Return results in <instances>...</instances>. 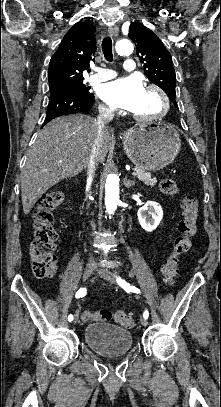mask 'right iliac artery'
Listing matches in <instances>:
<instances>
[{
  "instance_id": "obj_1",
  "label": "right iliac artery",
  "mask_w": 221,
  "mask_h": 407,
  "mask_svg": "<svg viewBox=\"0 0 221 407\" xmlns=\"http://www.w3.org/2000/svg\"><path fill=\"white\" fill-rule=\"evenodd\" d=\"M86 293H87V289L86 288H81V289H79L77 291L75 296H76V298L84 297L86 295ZM72 320H73V315L70 314L68 316V321L71 322Z\"/></svg>"
}]
</instances>
